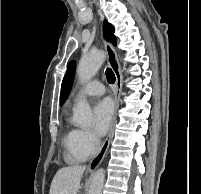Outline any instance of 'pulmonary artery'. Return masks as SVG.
<instances>
[{"instance_id":"e3ab8cb5","label":"pulmonary artery","mask_w":201,"mask_h":194,"mask_svg":"<svg viewBox=\"0 0 201 194\" xmlns=\"http://www.w3.org/2000/svg\"><path fill=\"white\" fill-rule=\"evenodd\" d=\"M105 92L104 85L99 81H91L87 83L83 89L75 96V100L88 96H101Z\"/></svg>"}]
</instances>
